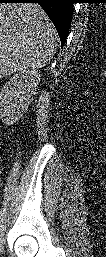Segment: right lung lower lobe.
<instances>
[{
  "instance_id": "right-lung-lower-lobe-1",
  "label": "right lung lower lobe",
  "mask_w": 106,
  "mask_h": 257,
  "mask_svg": "<svg viewBox=\"0 0 106 257\" xmlns=\"http://www.w3.org/2000/svg\"><path fill=\"white\" fill-rule=\"evenodd\" d=\"M1 3H38L53 22L63 47L70 28L75 0H0Z\"/></svg>"
}]
</instances>
